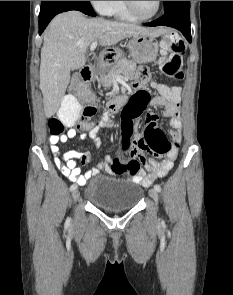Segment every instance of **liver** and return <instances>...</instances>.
Masks as SVG:
<instances>
[{
	"label": "liver",
	"mask_w": 233,
	"mask_h": 295,
	"mask_svg": "<svg viewBox=\"0 0 233 295\" xmlns=\"http://www.w3.org/2000/svg\"><path fill=\"white\" fill-rule=\"evenodd\" d=\"M163 32L104 18L88 19L76 10L58 14L44 33L41 49L39 88L45 116L50 118L59 109L70 72L85 66L90 44L99 40L101 46H112L134 35L157 37Z\"/></svg>",
	"instance_id": "liver-1"
}]
</instances>
